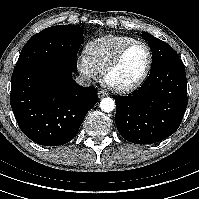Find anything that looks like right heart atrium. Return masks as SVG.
Returning <instances> with one entry per match:
<instances>
[{"label": "right heart atrium", "mask_w": 199, "mask_h": 199, "mask_svg": "<svg viewBox=\"0 0 199 199\" xmlns=\"http://www.w3.org/2000/svg\"><path fill=\"white\" fill-rule=\"evenodd\" d=\"M76 62L79 71L88 80H95L101 73V71L94 65L93 61L86 51L81 52L77 56Z\"/></svg>", "instance_id": "right-heart-atrium-1"}]
</instances>
